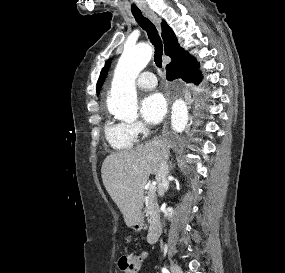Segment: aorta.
Returning <instances> with one entry per match:
<instances>
[{
    "label": "aorta",
    "mask_w": 285,
    "mask_h": 273,
    "mask_svg": "<svg viewBox=\"0 0 285 273\" xmlns=\"http://www.w3.org/2000/svg\"><path fill=\"white\" fill-rule=\"evenodd\" d=\"M152 57V48L146 43L126 46L115 68L111 91L107 98L109 112L120 119H135L138 105L135 80ZM188 111L183 100L172 108V127L181 132L187 124Z\"/></svg>",
    "instance_id": "762f6f07"
}]
</instances>
